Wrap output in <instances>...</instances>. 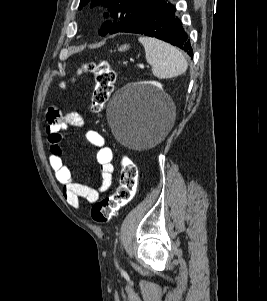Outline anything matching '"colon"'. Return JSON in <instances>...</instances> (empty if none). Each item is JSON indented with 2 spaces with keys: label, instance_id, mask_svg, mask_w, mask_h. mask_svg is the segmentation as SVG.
<instances>
[{
  "label": "colon",
  "instance_id": "obj_1",
  "mask_svg": "<svg viewBox=\"0 0 267 301\" xmlns=\"http://www.w3.org/2000/svg\"><path fill=\"white\" fill-rule=\"evenodd\" d=\"M84 69L94 74L95 86L91 100V109L95 113L103 110L109 100L116 80V75L107 61L91 62ZM138 183V170L136 165L128 158L121 161L119 185L114 193L104 197L91 209L92 219L98 224L108 223L119 209L135 196Z\"/></svg>",
  "mask_w": 267,
  "mask_h": 301
}]
</instances>
